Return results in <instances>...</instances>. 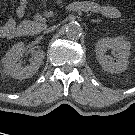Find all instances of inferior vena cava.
<instances>
[{
    "mask_svg": "<svg viewBox=\"0 0 135 135\" xmlns=\"http://www.w3.org/2000/svg\"><path fill=\"white\" fill-rule=\"evenodd\" d=\"M53 30H54V27H51V28H48L47 30H45L44 33H49V32H51Z\"/></svg>",
    "mask_w": 135,
    "mask_h": 135,
    "instance_id": "602c4592",
    "label": "inferior vena cava"
}]
</instances>
